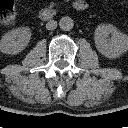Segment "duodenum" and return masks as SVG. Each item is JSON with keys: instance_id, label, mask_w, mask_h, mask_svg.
<instances>
[{"instance_id": "1", "label": "duodenum", "mask_w": 128, "mask_h": 128, "mask_svg": "<svg viewBox=\"0 0 128 128\" xmlns=\"http://www.w3.org/2000/svg\"><path fill=\"white\" fill-rule=\"evenodd\" d=\"M73 7L77 11H85L88 7V4L85 0H74ZM54 11L48 8H43L38 12V17L42 21H50L54 18Z\"/></svg>"}]
</instances>
